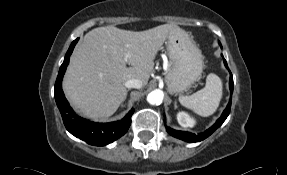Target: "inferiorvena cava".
Listing matches in <instances>:
<instances>
[{"mask_svg": "<svg viewBox=\"0 0 287 175\" xmlns=\"http://www.w3.org/2000/svg\"><path fill=\"white\" fill-rule=\"evenodd\" d=\"M142 81L139 79H129L125 82V86L127 88H137L140 89L142 87Z\"/></svg>", "mask_w": 287, "mask_h": 175, "instance_id": "obj_1", "label": "inferior vena cava"}]
</instances>
